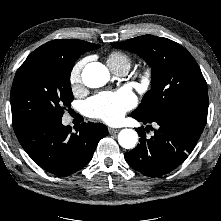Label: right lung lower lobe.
<instances>
[{"label": "right lung lower lobe", "mask_w": 221, "mask_h": 221, "mask_svg": "<svg viewBox=\"0 0 221 221\" xmlns=\"http://www.w3.org/2000/svg\"><path fill=\"white\" fill-rule=\"evenodd\" d=\"M30 158L44 170L67 176L82 169L92 159L100 139L108 134L100 123H84L76 132L58 122H38L14 129Z\"/></svg>", "instance_id": "right-lung-lower-lobe-1"}]
</instances>
